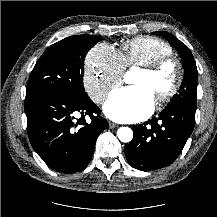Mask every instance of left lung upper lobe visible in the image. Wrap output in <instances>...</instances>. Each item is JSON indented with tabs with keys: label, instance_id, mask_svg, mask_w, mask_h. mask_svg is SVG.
I'll list each match as a JSON object with an SVG mask.
<instances>
[{
	"label": "left lung upper lobe",
	"instance_id": "obj_1",
	"mask_svg": "<svg viewBox=\"0 0 217 217\" xmlns=\"http://www.w3.org/2000/svg\"><path fill=\"white\" fill-rule=\"evenodd\" d=\"M153 34L165 38L173 47H175L181 57L185 71L184 80L179 89V93L173 96L171 102L166 106V108H172L175 106L196 108L198 71L190 49L174 35L168 32L158 31L153 32Z\"/></svg>",
	"mask_w": 217,
	"mask_h": 217
}]
</instances>
